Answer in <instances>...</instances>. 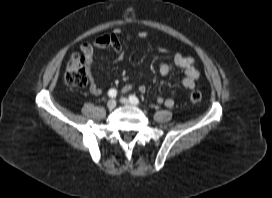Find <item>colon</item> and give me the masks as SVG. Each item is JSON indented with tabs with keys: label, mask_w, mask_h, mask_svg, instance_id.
<instances>
[{
	"label": "colon",
	"mask_w": 272,
	"mask_h": 198,
	"mask_svg": "<svg viewBox=\"0 0 272 198\" xmlns=\"http://www.w3.org/2000/svg\"><path fill=\"white\" fill-rule=\"evenodd\" d=\"M65 83L70 87H83L88 82L86 56L82 53H73L64 75ZM190 102L198 104L201 99V93L194 91L189 96Z\"/></svg>",
	"instance_id": "5ec220e1"
}]
</instances>
